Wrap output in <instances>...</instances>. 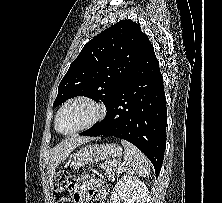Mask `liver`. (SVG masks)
I'll return each mask as SVG.
<instances>
[{"label": "liver", "instance_id": "liver-1", "mask_svg": "<svg viewBox=\"0 0 222 203\" xmlns=\"http://www.w3.org/2000/svg\"><path fill=\"white\" fill-rule=\"evenodd\" d=\"M89 141V137H74L66 139L54 147L51 151L48 167L49 178H53L58 165L61 164L75 148Z\"/></svg>", "mask_w": 222, "mask_h": 203}]
</instances>
